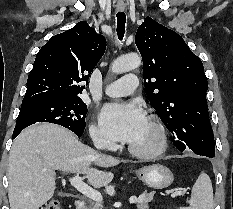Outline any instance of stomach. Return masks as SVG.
Returning <instances> with one entry per match:
<instances>
[{
    "label": "stomach",
    "instance_id": "1",
    "mask_svg": "<svg viewBox=\"0 0 233 209\" xmlns=\"http://www.w3.org/2000/svg\"><path fill=\"white\" fill-rule=\"evenodd\" d=\"M138 178L148 187L163 189L173 182V174L169 168L161 164L145 166L136 171Z\"/></svg>",
    "mask_w": 233,
    "mask_h": 209
}]
</instances>
